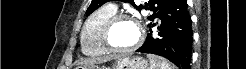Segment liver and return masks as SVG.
I'll use <instances>...</instances> for the list:
<instances>
[{"mask_svg":"<svg viewBox=\"0 0 246 69\" xmlns=\"http://www.w3.org/2000/svg\"><path fill=\"white\" fill-rule=\"evenodd\" d=\"M108 60V58H96V59H87L85 61L82 62L83 65H88V64H94V63H97V62H103V61H106Z\"/></svg>","mask_w":246,"mask_h":69,"instance_id":"1","label":"liver"}]
</instances>
